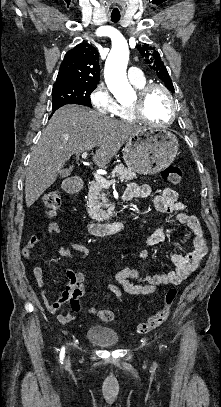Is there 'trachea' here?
Masks as SVG:
<instances>
[{
  "label": "trachea",
  "instance_id": "obj_1",
  "mask_svg": "<svg viewBox=\"0 0 221 407\" xmlns=\"http://www.w3.org/2000/svg\"><path fill=\"white\" fill-rule=\"evenodd\" d=\"M120 20V14H111V21L117 23Z\"/></svg>",
  "mask_w": 221,
  "mask_h": 407
}]
</instances>
